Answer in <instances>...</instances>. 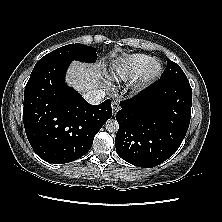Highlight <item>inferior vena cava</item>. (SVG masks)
<instances>
[{
    "mask_svg": "<svg viewBox=\"0 0 222 222\" xmlns=\"http://www.w3.org/2000/svg\"><path fill=\"white\" fill-rule=\"evenodd\" d=\"M104 97L105 91L97 89H92L84 95L85 100L92 105L100 104L103 101Z\"/></svg>",
    "mask_w": 222,
    "mask_h": 222,
    "instance_id": "obj_1",
    "label": "inferior vena cava"
}]
</instances>
